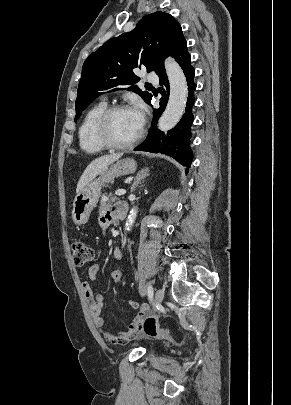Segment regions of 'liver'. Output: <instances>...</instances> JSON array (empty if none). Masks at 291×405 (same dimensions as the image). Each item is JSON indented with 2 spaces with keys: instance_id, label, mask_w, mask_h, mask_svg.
<instances>
[{
  "instance_id": "obj_1",
  "label": "liver",
  "mask_w": 291,
  "mask_h": 405,
  "mask_svg": "<svg viewBox=\"0 0 291 405\" xmlns=\"http://www.w3.org/2000/svg\"><path fill=\"white\" fill-rule=\"evenodd\" d=\"M122 156L121 153L119 154H110L106 156H101L95 160H93L85 169L82 176L80 177L76 192L79 194L83 188L93 180L98 174H100L103 170H105L110 164L117 161Z\"/></svg>"
}]
</instances>
